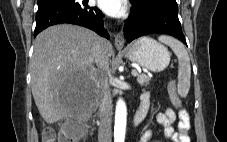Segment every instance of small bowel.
Returning a JSON list of instances; mask_svg holds the SVG:
<instances>
[{
	"label": "small bowel",
	"mask_w": 227,
	"mask_h": 142,
	"mask_svg": "<svg viewBox=\"0 0 227 142\" xmlns=\"http://www.w3.org/2000/svg\"><path fill=\"white\" fill-rule=\"evenodd\" d=\"M141 102L149 106L150 95L145 93L142 96ZM178 109V131L173 127V124L177 118L175 111L171 108L166 109L164 112L157 113L155 115V120L163 125L164 135L167 139L173 142H190L188 132L191 127L190 117L188 112L182 107H177ZM152 138V133L150 130H146L142 133L141 138L137 142H149ZM162 142V141H157Z\"/></svg>",
	"instance_id": "small-bowel-1"
}]
</instances>
